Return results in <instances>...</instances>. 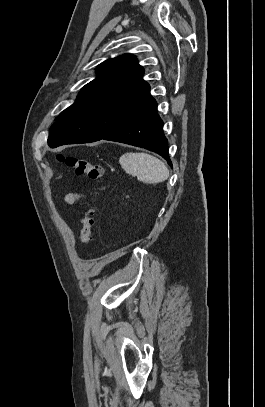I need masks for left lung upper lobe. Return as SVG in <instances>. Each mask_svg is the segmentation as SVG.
<instances>
[{"label": "left lung upper lobe", "instance_id": "5c2ea615", "mask_svg": "<svg viewBox=\"0 0 265 407\" xmlns=\"http://www.w3.org/2000/svg\"><path fill=\"white\" fill-rule=\"evenodd\" d=\"M96 71L76 102L55 118L50 147L101 140L156 105L142 78L144 70L131 54L106 60Z\"/></svg>", "mask_w": 265, "mask_h": 407}]
</instances>
